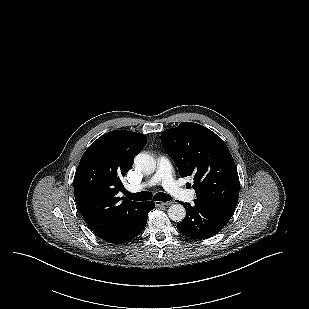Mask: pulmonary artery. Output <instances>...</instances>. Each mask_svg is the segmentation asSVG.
Masks as SVG:
<instances>
[{
  "label": "pulmonary artery",
  "instance_id": "obj_1",
  "mask_svg": "<svg viewBox=\"0 0 309 309\" xmlns=\"http://www.w3.org/2000/svg\"><path fill=\"white\" fill-rule=\"evenodd\" d=\"M161 183L164 189L179 200L192 202L195 198L194 190H188L180 186L172 175V168L169 159L166 156L158 158V167L156 173L148 180L133 187L134 190H142Z\"/></svg>",
  "mask_w": 309,
  "mask_h": 309
}]
</instances>
